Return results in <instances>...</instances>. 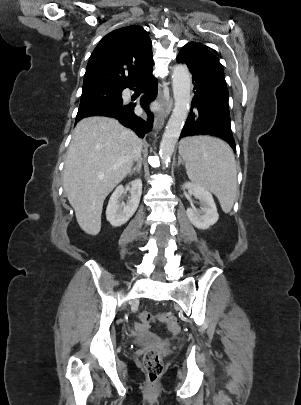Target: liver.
<instances>
[{
  "label": "liver",
  "instance_id": "1",
  "mask_svg": "<svg viewBox=\"0 0 301 405\" xmlns=\"http://www.w3.org/2000/svg\"><path fill=\"white\" fill-rule=\"evenodd\" d=\"M139 143L133 131L113 118L95 116L77 123L65 160L63 187L86 233L100 232L104 200L130 173Z\"/></svg>",
  "mask_w": 301,
  "mask_h": 405
}]
</instances>
